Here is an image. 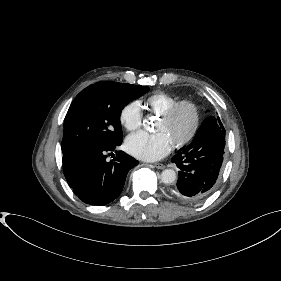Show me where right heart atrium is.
Segmentation results:
<instances>
[{
    "mask_svg": "<svg viewBox=\"0 0 281 281\" xmlns=\"http://www.w3.org/2000/svg\"><path fill=\"white\" fill-rule=\"evenodd\" d=\"M119 121L128 131L137 130L142 123L141 106L137 101L128 102L119 113Z\"/></svg>",
    "mask_w": 281,
    "mask_h": 281,
    "instance_id": "obj_1",
    "label": "right heart atrium"
}]
</instances>
